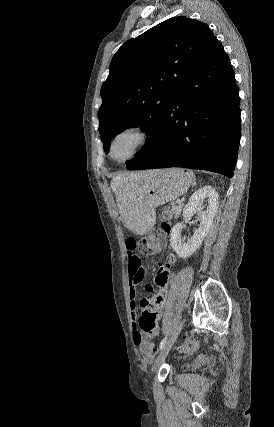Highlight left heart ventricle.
I'll use <instances>...</instances> for the list:
<instances>
[{
    "instance_id": "obj_1",
    "label": "left heart ventricle",
    "mask_w": 274,
    "mask_h": 427,
    "mask_svg": "<svg viewBox=\"0 0 274 427\" xmlns=\"http://www.w3.org/2000/svg\"><path fill=\"white\" fill-rule=\"evenodd\" d=\"M136 145V137L133 133L126 132L119 135L112 147V156L116 161L128 158Z\"/></svg>"
}]
</instances>
